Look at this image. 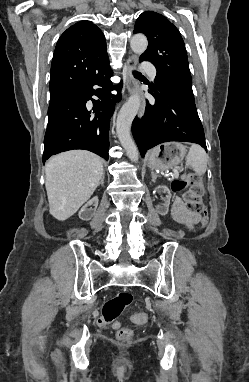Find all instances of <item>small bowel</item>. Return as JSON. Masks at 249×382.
<instances>
[{
    "mask_svg": "<svg viewBox=\"0 0 249 382\" xmlns=\"http://www.w3.org/2000/svg\"><path fill=\"white\" fill-rule=\"evenodd\" d=\"M172 212L175 220L188 228H193L199 221L198 215L187 211L179 198L174 200Z\"/></svg>",
    "mask_w": 249,
    "mask_h": 382,
    "instance_id": "small-bowel-1",
    "label": "small bowel"
}]
</instances>
